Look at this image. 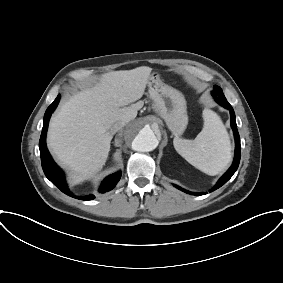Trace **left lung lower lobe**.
<instances>
[{
	"instance_id": "left-lung-lower-lobe-1",
	"label": "left lung lower lobe",
	"mask_w": 283,
	"mask_h": 283,
	"mask_svg": "<svg viewBox=\"0 0 283 283\" xmlns=\"http://www.w3.org/2000/svg\"><path fill=\"white\" fill-rule=\"evenodd\" d=\"M214 98H215L217 103H219L221 106H223L224 108H226L230 111L231 127L233 129L236 146H235V157H234L233 164L227 170V172L218 180V182L216 183L214 188L211 190V192L220 188L222 185H224L233 176V174L236 172V170L239 166L240 156H241L240 155L241 154L240 137H239V133H238L237 126H236L235 114H234L233 108L228 103V101L225 97H222V98L214 97ZM174 186L178 189H181L183 192H186L188 194H192V195H203V194H205V193H193V192L184 190V189L180 188L179 186H176V185H174Z\"/></svg>"
}]
</instances>
